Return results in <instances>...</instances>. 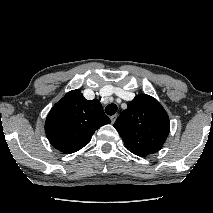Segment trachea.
Wrapping results in <instances>:
<instances>
[{"mask_svg": "<svg viewBox=\"0 0 213 213\" xmlns=\"http://www.w3.org/2000/svg\"><path fill=\"white\" fill-rule=\"evenodd\" d=\"M105 112L107 115H114L117 112L116 104H109L108 106H106Z\"/></svg>", "mask_w": 213, "mask_h": 213, "instance_id": "3493384b", "label": "trachea"}]
</instances>
